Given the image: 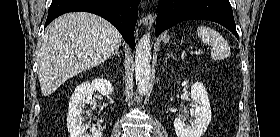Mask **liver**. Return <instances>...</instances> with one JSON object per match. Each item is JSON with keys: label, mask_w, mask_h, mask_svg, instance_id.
Instances as JSON below:
<instances>
[{"label": "liver", "mask_w": 280, "mask_h": 137, "mask_svg": "<svg viewBox=\"0 0 280 137\" xmlns=\"http://www.w3.org/2000/svg\"><path fill=\"white\" fill-rule=\"evenodd\" d=\"M121 40L113 25L92 13H68L55 19L40 45L42 95H51L71 77L104 62L120 47Z\"/></svg>", "instance_id": "6515ba94"}]
</instances>
